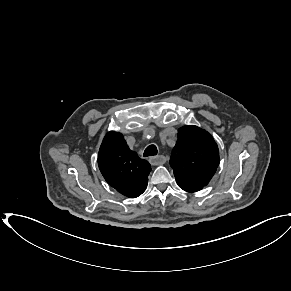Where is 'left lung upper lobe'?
Here are the masks:
<instances>
[{
	"label": "left lung upper lobe",
	"instance_id": "left-lung-upper-lobe-1",
	"mask_svg": "<svg viewBox=\"0 0 291 291\" xmlns=\"http://www.w3.org/2000/svg\"><path fill=\"white\" fill-rule=\"evenodd\" d=\"M170 165L178 186L196 192L206 186L219 165V150L213 137L197 126L178 130Z\"/></svg>",
	"mask_w": 291,
	"mask_h": 291
}]
</instances>
